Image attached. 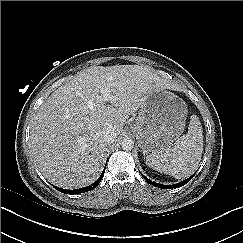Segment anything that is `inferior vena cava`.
Instances as JSON below:
<instances>
[{
  "mask_svg": "<svg viewBox=\"0 0 243 243\" xmlns=\"http://www.w3.org/2000/svg\"><path fill=\"white\" fill-rule=\"evenodd\" d=\"M116 136H117V131L114 128L109 127V128H107L106 130L103 131L102 141L106 145H109V144L114 142Z\"/></svg>",
  "mask_w": 243,
  "mask_h": 243,
  "instance_id": "1",
  "label": "inferior vena cava"
}]
</instances>
